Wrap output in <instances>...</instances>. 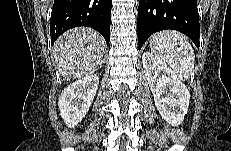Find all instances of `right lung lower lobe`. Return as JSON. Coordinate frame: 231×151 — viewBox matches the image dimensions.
Masks as SVG:
<instances>
[{
  "label": "right lung lower lobe",
  "mask_w": 231,
  "mask_h": 151,
  "mask_svg": "<svg viewBox=\"0 0 231 151\" xmlns=\"http://www.w3.org/2000/svg\"><path fill=\"white\" fill-rule=\"evenodd\" d=\"M112 0H54L50 35L54 42L62 33L77 26L98 31L109 44Z\"/></svg>",
  "instance_id": "1"
}]
</instances>
